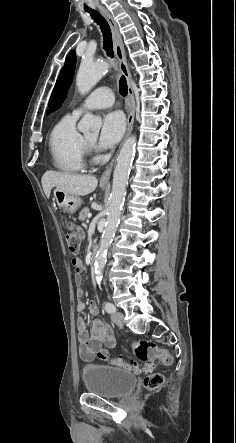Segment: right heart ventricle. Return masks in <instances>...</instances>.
<instances>
[{
  "label": "right heart ventricle",
  "instance_id": "right-heart-ventricle-1",
  "mask_svg": "<svg viewBox=\"0 0 236 443\" xmlns=\"http://www.w3.org/2000/svg\"><path fill=\"white\" fill-rule=\"evenodd\" d=\"M76 117L68 114L52 128L49 151L55 168L66 173L81 172L85 168L83 136L75 127Z\"/></svg>",
  "mask_w": 236,
  "mask_h": 443
}]
</instances>
